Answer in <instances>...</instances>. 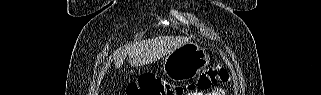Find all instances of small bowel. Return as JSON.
<instances>
[{"label":"small bowel","instance_id":"1","mask_svg":"<svg viewBox=\"0 0 321 95\" xmlns=\"http://www.w3.org/2000/svg\"><path fill=\"white\" fill-rule=\"evenodd\" d=\"M218 91L221 92V90H218ZM193 95H202V94L194 93Z\"/></svg>","mask_w":321,"mask_h":95}]
</instances>
